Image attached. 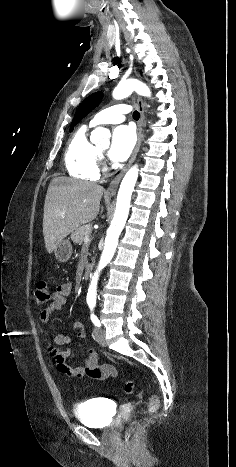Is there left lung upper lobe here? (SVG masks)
<instances>
[{
  "instance_id": "5c2ea615",
  "label": "left lung upper lobe",
  "mask_w": 236,
  "mask_h": 467,
  "mask_svg": "<svg viewBox=\"0 0 236 467\" xmlns=\"http://www.w3.org/2000/svg\"><path fill=\"white\" fill-rule=\"evenodd\" d=\"M103 98L102 92H96L87 97L78 107L73 121L70 125V131L73 130L74 126L79 123L88 113H90L95 107H97Z\"/></svg>"
}]
</instances>
